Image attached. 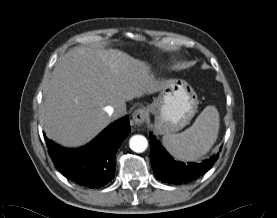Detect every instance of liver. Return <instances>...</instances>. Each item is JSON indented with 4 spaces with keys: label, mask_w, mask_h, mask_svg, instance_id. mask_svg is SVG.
I'll return each mask as SVG.
<instances>
[{
    "label": "liver",
    "mask_w": 277,
    "mask_h": 218,
    "mask_svg": "<svg viewBox=\"0 0 277 218\" xmlns=\"http://www.w3.org/2000/svg\"><path fill=\"white\" fill-rule=\"evenodd\" d=\"M150 67L116 49L75 47L60 57L45 88L41 123L56 142L78 147L113 120L106 106L126 110V101L161 90Z\"/></svg>",
    "instance_id": "6515ba94"
}]
</instances>
